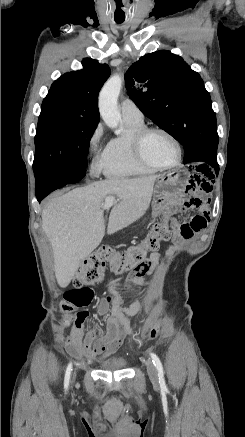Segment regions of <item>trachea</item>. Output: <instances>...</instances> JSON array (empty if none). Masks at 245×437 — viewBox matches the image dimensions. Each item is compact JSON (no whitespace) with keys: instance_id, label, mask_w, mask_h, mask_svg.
<instances>
[{"instance_id":"3493384b","label":"trachea","mask_w":245,"mask_h":437,"mask_svg":"<svg viewBox=\"0 0 245 437\" xmlns=\"http://www.w3.org/2000/svg\"><path fill=\"white\" fill-rule=\"evenodd\" d=\"M117 23H122V21H116Z\"/></svg>"}]
</instances>
